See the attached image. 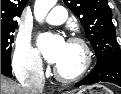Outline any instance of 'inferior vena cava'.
<instances>
[{"label":"inferior vena cava","instance_id":"1","mask_svg":"<svg viewBox=\"0 0 121 94\" xmlns=\"http://www.w3.org/2000/svg\"><path fill=\"white\" fill-rule=\"evenodd\" d=\"M45 85V77L42 67L36 68L26 82H22L25 94H42Z\"/></svg>","mask_w":121,"mask_h":94}]
</instances>
